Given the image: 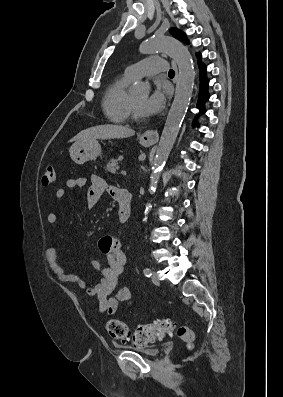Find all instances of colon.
<instances>
[{"instance_id":"colon-1","label":"colon","mask_w":283,"mask_h":397,"mask_svg":"<svg viewBox=\"0 0 283 397\" xmlns=\"http://www.w3.org/2000/svg\"><path fill=\"white\" fill-rule=\"evenodd\" d=\"M56 180V169L54 166H47L42 174L41 182L44 186L52 185ZM109 335L116 340L130 341L133 345L144 346L155 339L170 338L175 332V323L166 318L152 323L142 324L134 331H130L128 326L122 321L110 319L106 323ZM178 336L184 340L189 348L192 347L194 335L187 327H181L177 332Z\"/></svg>"}]
</instances>
